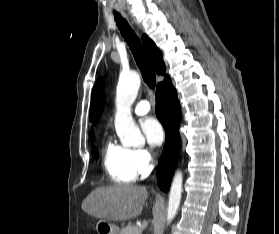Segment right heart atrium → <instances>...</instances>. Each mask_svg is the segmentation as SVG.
Returning <instances> with one entry per match:
<instances>
[{"label":"right heart atrium","instance_id":"d8ad5b80","mask_svg":"<svg viewBox=\"0 0 279 234\" xmlns=\"http://www.w3.org/2000/svg\"><path fill=\"white\" fill-rule=\"evenodd\" d=\"M133 159L138 173L148 171L153 163V153L148 148H136L133 150Z\"/></svg>","mask_w":279,"mask_h":234}]
</instances>
